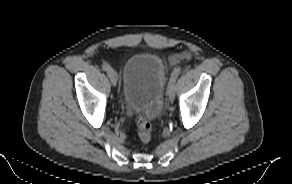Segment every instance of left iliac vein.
I'll list each match as a JSON object with an SVG mask.
<instances>
[{
    "mask_svg": "<svg viewBox=\"0 0 292 184\" xmlns=\"http://www.w3.org/2000/svg\"><path fill=\"white\" fill-rule=\"evenodd\" d=\"M166 94L168 96L169 102L172 103L175 99V86H174V84H171L168 86Z\"/></svg>",
    "mask_w": 292,
    "mask_h": 184,
    "instance_id": "left-iliac-vein-1",
    "label": "left iliac vein"
}]
</instances>
